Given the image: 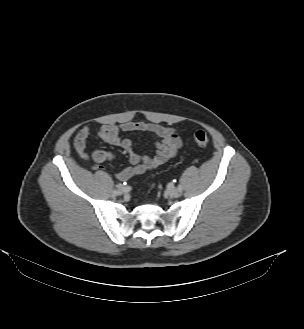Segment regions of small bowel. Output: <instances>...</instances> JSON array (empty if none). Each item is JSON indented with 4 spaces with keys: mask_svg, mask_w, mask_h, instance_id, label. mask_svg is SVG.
Listing matches in <instances>:
<instances>
[{
    "mask_svg": "<svg viewBox=\"0 0 304 329\" xmlns=\"http://www.w3.org/2000/svg\"><path fill=\"white\" fill-rule=\"evenodd\" d=\"M121 132H149L158 140V150L154 156L139 155L133 148V143L128 138H122ZM91 133V128L83 126L74 138V148L76 152L85 160H92L94 163L110 161L114 158L113 153L106 150H95L90 156L86 153V141ZM98 136L105 142L121 147L128 155L131 167L119 171L118 179L126 181L130 178L144 174L167 162L175 156L182 145L178 132L160 124L147 121H128L116 125H102L98 131Z\"/></svg>",
    "mask_w": 304,
    "mask_h": 329,
    "instance_id": "obj_1",
    "label": "small bowel"
}]
</instances>
